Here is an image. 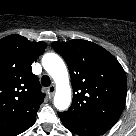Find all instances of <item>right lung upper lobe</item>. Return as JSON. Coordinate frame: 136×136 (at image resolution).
I'll return each mask as SVG.
<instances>
[{
	"label": "right lung upper lobe",
	"instance_id": "obj_1",
	"mask_svg": "<svg viewBox=\"0 0 136 136\" xmlns=\"http://www.w3.org/2000/svg\"><path fill=\"white\" fill-rule=\"evenodd\" d=\"M45 48L21 35L0 39V136H17L34 124L45 94L31 64Z\"/></svg>",
	"mask_w": 136,
	"mask_h": 136
}]
</instances>
